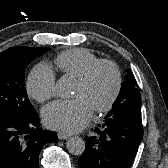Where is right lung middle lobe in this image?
<instances>
[{"label": "right lung middle lobe", "instance_id": "1", "mask_svg": "<svg viewBox=\"0 0 168 168\" xmlns=\"http://www.w3.org/2000/svg\"><path fill=\"white\" fill-rule=\"evenodd\" d=\"M49 49L17 46L0 54V116L28 118L36 114L24 87V70Z\"/></svg>", "mask_w": 168, "mask_h": 168}]
</instances>
